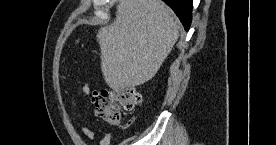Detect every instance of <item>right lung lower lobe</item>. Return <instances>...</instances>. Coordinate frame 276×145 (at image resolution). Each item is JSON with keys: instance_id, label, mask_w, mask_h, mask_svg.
<instances>
[{"instance_id": "1", "label": "right lung lower lobe", "mask_w": 276, "mask_h": 145, "mask_svg": "<svg viewBox=\"0 0 276 145\" xmlns=\"http://www.w3.org/2000/svg\"><path fill=\"white\" fill-rule=\"evenodd\" d=\"M177 14L186 31L189 30L192 20V2L193 0H163Z\"/></svg>"}]
</instances>
